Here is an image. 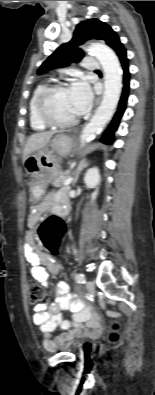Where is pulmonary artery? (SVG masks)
<instances>
[{"instance_id": "e3ab8cb5", "label": "pulmonary artery", "mask_w": 155, "mask_h": 395, "mask_svg": "<svg viewBox=\"0 0 155 395\" xmlns=\"http://www.w3.org/2000/svg\"><path fill=\"white\" fill-rule=\"evenodd\" d=\"M82 66L87 70H97L100 67L98 60L94 57H86L82 62Z\"/></svg>"}]
</instances>
